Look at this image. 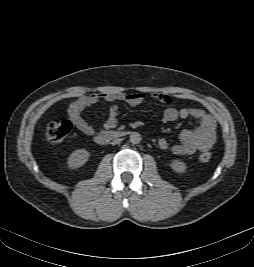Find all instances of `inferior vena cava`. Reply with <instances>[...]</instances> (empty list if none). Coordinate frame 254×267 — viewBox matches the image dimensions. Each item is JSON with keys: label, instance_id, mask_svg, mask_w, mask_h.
Wrapping results in <instances>:
<instances>
[{"label": "inferior vena cava", "instance_id": "obj_1", "mask_svg": "<svg viewBox=\"0 0 254 267\" xmlns=\"http://www.w3.org/2000/svg\"><path fill=\"white\" fill-rule=\"evenodd\" d=\"M119 142H120V139H115V140L112 141L111 144H112V145H115V144H118Z\"/></svg>", "mask_w": 254, "mask_h": 267}]
</instances>
